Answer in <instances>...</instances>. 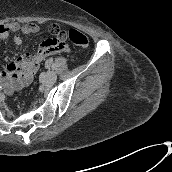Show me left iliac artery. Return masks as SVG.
Instances as JSON below:
<instances>
[{"label": "left iliac artery", "instance_id": "44dca946", "mask_svg": "<svg viewBox=\"0 0 172 172\" xmlns=\"http://www.w3.org/2000/svg\"><path fill=\"white\" fill-rule=\"evenodd\" d=\"M52 62H53V59H52V58H50V59H48V60L46 61V65H47V66H49V65H51V64H52Z\"/></svg>", "mask_w": 172, "mask_h": 172}]
</instances>
